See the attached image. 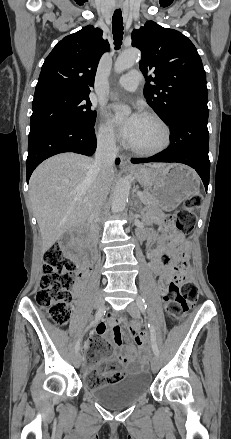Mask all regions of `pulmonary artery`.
I'll return each instance as SVG.
<instances>
[{
	"label": "pulmonary artery",
	"mask_w": 231,
	"mask_h": 439,
	"mask_svg": "<svg viewBox=\"0 0 231 439\" xmlns=\"http://www.w3.org/2000/svg\"><path fill=\"white\" fill-rule=\"evenodd\" d=\"M142 76L139 71H131L125 75H122L118 81L117 84L128 91H135L140 82H141Z\"/></svg>",
	"instance_id": "pulmonary-artery-1"
}]
</instances>
